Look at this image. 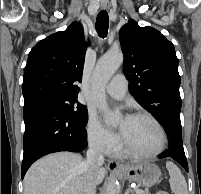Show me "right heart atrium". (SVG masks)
<instances>
[{
    "label": "right heart atrium",
    "instance_id": "1",
    "mask_svg": "<svg viewBox=\"0 0 201 194\" xmlns=\"http://www.w3.org/2000/svg\"><path fill=\"white\" fill-rule=\"evenodd\" d=\"M86 135L89 145L102 154L112 153L119 146L118 137L106 129L94 115L88 117Z\"/></svg>",
    "mask_w": 201,
    "mask_h": 194
}]
</instances>
